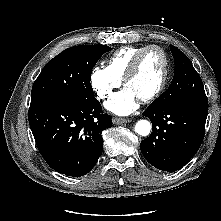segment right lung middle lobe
I'll list each match as a JSON object with an SVG mask.
<instances>
[{
    "label": "right lung middle lobe",
    "instance_id": "dd1d6c3e",
    "mask_svg": "<svg viewBox=\"0 0 221 221\" xmlns=\"http://www.w3.org/2000/svg\"><path fill=\"white\" fill-rule=\"evenodd\" d=\"M106 45H81L62 51L43 68L33 84L31 104L55 99L94 97L92 69L110 51Z\"/></svg>",
    "mask_w": 221,
    "mask_h": 221
}]
</instances>
